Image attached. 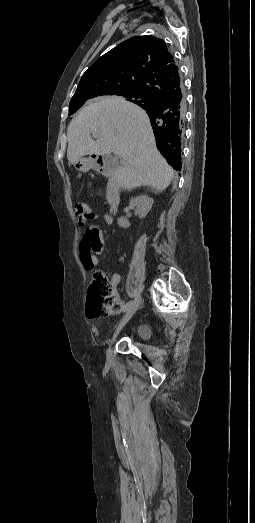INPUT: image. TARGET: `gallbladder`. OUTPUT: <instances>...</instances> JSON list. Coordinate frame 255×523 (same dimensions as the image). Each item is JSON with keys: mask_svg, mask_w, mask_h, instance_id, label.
<instances>
[{"mask_svg": "<svg viewBox=\"0 0 255 523\" xmlns=\"http://www.w3.org/2000/svg\"><path fill=\"white\" fill-rule=\"evenodd\" d=\"M105 160H106V162H111L110 156H105Z\"/></svg>", "mask_w": 255, "mask_h": 523, "instance_id": "gallbladder-1", "label": "gallbladder"}]
</instances>
